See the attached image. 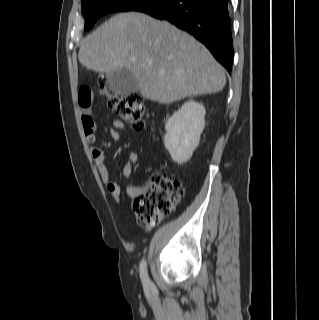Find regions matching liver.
Wrapping results in <instances>:
<instances>
[{
    "label": "liver",
    "mask_w": 319,
    "mask_h": 320,
    "mask_svg": "<svg viewBox=\"0 0 319 320\" xmlns=\"http://www.w3.org/2000/svg\"><path fill=\"white\" fill-rule=\"evenodd\" d=\"M78 58L89 70L127 69L141 95L161 104L221 91L223 67L200 42L167 21L142 13H121L81 43Z\"/></svg>",
    "instance_id": "6515ba94"
}]
</instances>
